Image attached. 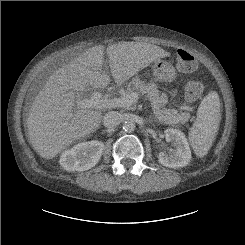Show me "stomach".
Here are the masks:
<instances>
[{"instance_id":"0dacf381","label":"stomach","mask_w":245,"mask_h":245,"mask_svg":"<svg viewBox=\"0 0 245 245\" xmlns=\"http://www.w3.org/2000/svg\"><path fill=\"white\" fill-rule=\"evenodd\" d=\"M153 75L156 80L171 82L176 76L175 68L167 61L158 59L152 66Z\"/></svg>"}]
</instances>
